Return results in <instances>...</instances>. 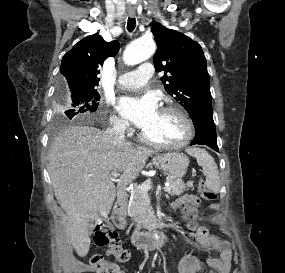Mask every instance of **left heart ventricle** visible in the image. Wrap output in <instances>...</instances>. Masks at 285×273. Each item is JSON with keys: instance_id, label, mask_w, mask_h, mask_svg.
<instances>
[{"instance_id": "obj_1", "label": "left heart ventricle", "mask_w": 285, "mask_h": 273, "mask_svg": "<svg viewBox=\"0 0 285 273\" xmlns=\"http://www.w3.org/2000/svg\"><path fill=\"white\" fill-rule=\"evenodd\" d=\"M144 134L156 142H176L184 135V125L174 113L159 111L154 121L142 129Z\"/></svg>"}]
</instances>
